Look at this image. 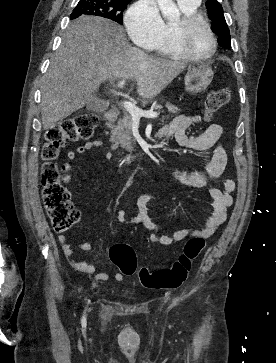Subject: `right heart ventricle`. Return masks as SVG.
<instances>
[{"mask_svg": "<svg viewBox=\"0 0 276 363\" xmlns=\"http://www.w3.org/2000/svg\"><path fill=\"white\" fill-rule=\"evenodd\" d=\"M198 6L199 4L195 5H187L179 3V7L183 13V15H189L192 13H198ZM173 22H166L164 23V29L161 37L155 43V45L151 48L155 50L157 53L168 56L174 59H184L182 53L178 50L175 46L174 39H173Z\"/></svg>", "mask_w": 276, "mask_h": 363, "instance_id": "obj_1", "label": "right heart ventricle"}]
</instances>
